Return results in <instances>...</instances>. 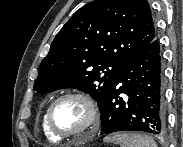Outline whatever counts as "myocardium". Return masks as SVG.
<instances>
[{"label": "myocardium", "instance_id": "obj_1", "mask_svg": "<svg viewBox=\"0 0 183 147\" xmlns=\"http://www.w3.org/2000/svg\"><path fill=\"white\" fill-rule=\"evenodd\" d=\"M67 98H75L78 99L80 101H82L85 106L88 109V122L86 123V125L74 132H68V133H64V132H60L59 130H57L55 128V126L53 125L52 122V112L54 107L62 100L67 99ZM100 119V114H99V109L97 106V103L95 102V100L87 93L84 92H79V91H71V92H66L64 94H61L60 96H58L55 100L52 101V103L49 105L47 111H46V124L48 129L58 138L60 139H65V138H71V137H76L79 136L87 131H89L90 129H92L93 127H95Z\"/></svg>", "mask_w": 183, "mask_h": 147}]
</instances>
